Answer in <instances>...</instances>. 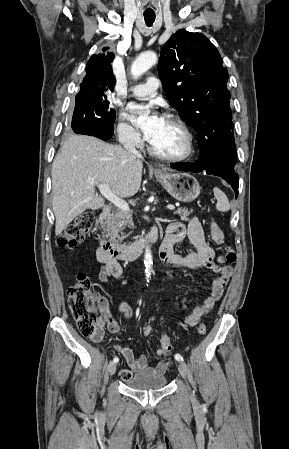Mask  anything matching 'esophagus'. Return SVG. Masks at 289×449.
<instances>
[{
	"mask_svg": "<svg viewBox=\"0 0 289 449\" xmlns=\"http://www.w3.org/2000/svg\"><path fill=\"white\" fill-rule=\"evenodd\" d=\"M155 170L158 171V172L161 171L159 168H155Z\"/></svg>",
	"mask_w": 289,
	"mask_h": 449,
	"instance_id": "esophagus-1",
	"label": "esophagus"
}]
</instances>
